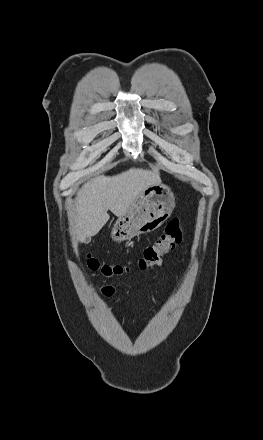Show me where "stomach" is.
Returning a JSON list of instances; mask_svg holds the SVG:
<instances>
[{
  "mask_svg": "<svg viewBox=\"0 0 263 440\" xmlns=\"http://www.w3.org/2000/svg\"><path fill=\"white\" fill-rule=\"evenodd\" d=\"M174 207L175 196L169 186L151 185L136 197L125 215L118 218L111 235L122 241L152 232L171 216Z\"/></svg>",
  "mask_w": 263,
  "mask_h": 440,
  "instance_id": "1",
  "label": "stomach"
}]
</instances>
